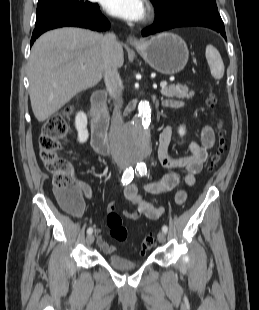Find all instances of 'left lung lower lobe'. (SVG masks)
Segmentation results:
<instances>
[{
  "label": "left lung lower lobe",
  "instance_id": "0a47b994",
  "mask_svg": "<svg viewBox=\"0 0 259 310\" xmlns=\"http://www.w3.org/2000/svg\"><path fill=\"white\" fill-rule=\"evenodd\" d=\"M184 26L207 27L220 33L225 40H227L224 24L220 14L217 11L206 10H194L164 22L154 23L153 25L145 28L142 31V35L148 36L164 30Z\"/></svg>",
  "mask_w": 259,
  "mask_h": 310
}]
</instances>
